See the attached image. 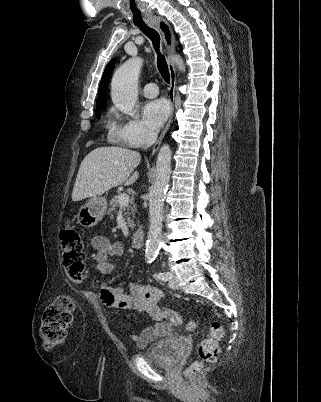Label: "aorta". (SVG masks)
Returning <instances> with one entry per match:
<instances>
[{"instance_id": "obj_1", "label": "aorta", "mask_w": 321, "mask_h": 402, "mask_svg": "<svg viewBox=\"0 0 321 402\" xmlns=\"http://www.w3.org/2000/svg\"><path fill=\"white\" fill-rule=\"evenodd\" d=\"M172 60L180 71L185 70L184 62L179 56L175 55ZM142 65V58H130L112 78V101L119 110L128 115H133L138 98V78ZM171 155L169 145L164 144L157 156L156 177L149 193V231L145 248L147 263H151L156 258L162 240L164 197L170 179Z\"/></svg>"}]
</instances>
